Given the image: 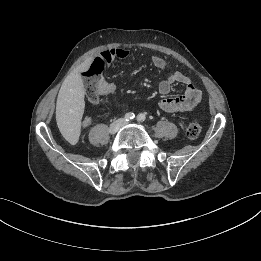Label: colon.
Here are the masks:
<instances>
[{"mask_svg":"<svg viewBox=\"0 0 261 261\" xmlns=\"http://www.w3.org/2000/svg\"><path fill=\"white\" fill-rule=\"evenodd\" d=\"M104 66L103 61L95 59L84 72L86 98L92 105L96 104L102 95L103 79L101 78V73ZM200 132L201 124L198 121L191 122L186 128V134L191 139L197 138Z\"/></svg>","mask_w":261,"mask_h":261,"instance_id":"5ec220e1","label":"colon"}]
</instances>
